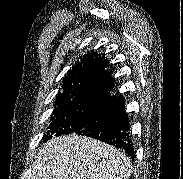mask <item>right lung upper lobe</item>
Wrapping results in <instances>:
<instances>
[{"mask_svg":"<svg viewBox=\"0 0 183 179\" xmlns=\"http://www.w3.org/2000/svg\"><path fill=\"white\" fill-rule=\"evenodd\" d=\"M108 60L97 52L83 55L63 79L62 91H58L56 105L62 102L89 96L109 95L114 80L106 70Z\"/></svg>","mask_w":183,"mask_h":179,"instance_id":"obj_1","label":"right lung upper lobe"}]
</instances>
